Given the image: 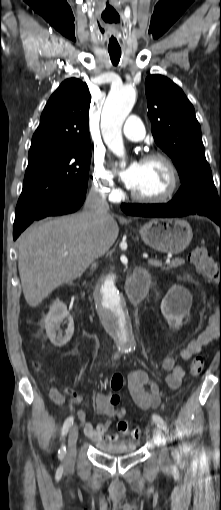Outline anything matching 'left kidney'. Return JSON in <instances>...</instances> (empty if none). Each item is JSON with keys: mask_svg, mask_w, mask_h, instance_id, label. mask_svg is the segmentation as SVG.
Returning <instances> with one entry per match:
<instances>
[{"mask_svg": "<svg viewBox=\"0 0 221 510\" xmlns=\"http://www.w3.org/2000/svg\"><path fill=\"white\" fill-rule=\"evenodd\" d=\"M192 296L181 286H172L161 302V312L167 323L173 329L182 326L183 318L189 313Z\"/></svg>", "mask_w": 221, "mask_h": 510, "instance_id": "obj_1", "label": "left kidney"}]
</instances>
